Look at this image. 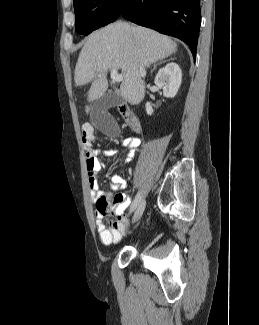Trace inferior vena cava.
Segmentation results:
<instances>
[{
	"label": "inferior vena cava",
	"instance_id": "602c4592",
	"mask_svg": "<svg viewBox=\"0 0 259 325\" xmlns=\"http://www.w3.org/2000/svg\"><path fill=\"white\" fill-rule=\"evenodd\" d=\"M140 73L142 76H145V74H146L145 69L142 66H140Z\"/></svg>",
	"mask_w": 259,
	"mask_h": 325
}]
</instances>
